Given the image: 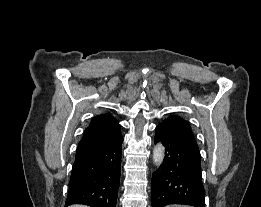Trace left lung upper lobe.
<instances>
[{"label": "left lung upper lobe", "instance_id": "5c2ea615", "mask_svg": "<svg viewBox=\"0 0 261 207\" xmlns=\"http://www.w3.org/2000/svg\"><path fill=\"white\" fill-rule=\"evenodd\" d=\"M166 121L174 124L177 129L181 132L182 137L190 144V146L192 147V149L200 154L198 145L196 143V139L195 136L191 130V127L188 123V121L184 120L183 118H181L178 115H169L167 119H165Z\"/></svg>", "mask_w": 261, "mask_h": 207}]
</instances>
